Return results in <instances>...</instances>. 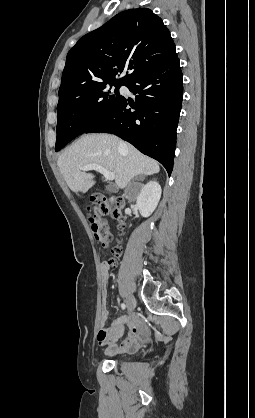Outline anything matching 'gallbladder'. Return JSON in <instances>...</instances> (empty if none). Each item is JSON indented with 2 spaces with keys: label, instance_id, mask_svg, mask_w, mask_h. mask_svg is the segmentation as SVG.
<instances>
[{
  "label": "gallbladder",
  "instance_id": "bac80fb5",
  "mask_svg": "<svg viewBox=\"0 0 255 418\" xmlns=\"http://www.w3.org/2000/svg\"><path fill=\"white\" fill-rule=\"evenodd\" d=\"M106 189L108 190V191H114V188H112V187H106Z\"/></svg>",
  "mask_w": 255,
  "mask_h": 418
}]
</instances>
